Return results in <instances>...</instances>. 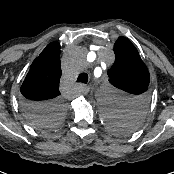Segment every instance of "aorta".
Returning a JSON list of instances; mask_svg holds the SVG:
<instances>
[{"label":"aorta","instance_id":"obj_1","mask_svg":"<svg viewBox=\"0 0 174 174\" xmlns=\"http://www.w3.org/2000/svg\"><path fill=\"white\" fill-rule=\"evenodd\" d=\"M99 107L107 117L111 115H121L122 110L117 106L115 93L111 87L106 84H99L95 90Z\"/></svg>","mask_w":174,"mask_h":174}]
</instances>
